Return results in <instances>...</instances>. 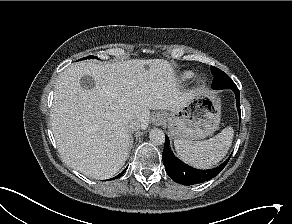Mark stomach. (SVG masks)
<instances>
[{
    "label": "stomach",
    "mask_w": 292,
    "mask_h": 224,
    "mask_svg": "<svg viewBox=\"0 0 292 224\" xmlns=\"http://www.w3.org/2000/svg\"><path fill=\"white\" fill-rule=\"evenodd\" d=\"M221 120V100L203 89L180 110L166 114V124L173 139L196 141L213 134Z\"/></svg>",
    "instance_id": "obj_1"
}]
</instances>
